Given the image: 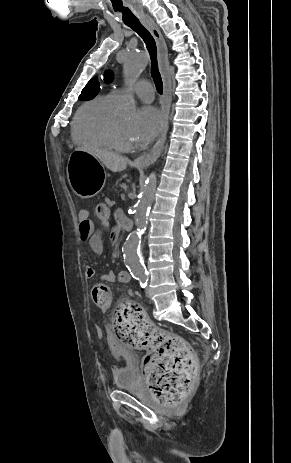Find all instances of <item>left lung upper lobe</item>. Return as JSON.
Listing matches in <instances>:
<instances>
[{"mask_svg":"<svg viewBox=\"0 0 291 463\" xmlns=\"http://www.w3.org/2000/svg\"><path fill=\"white\" fill-rule=\"evenodd\" d=\"M104 79L106 82H110L112 80V73L110 71L105 72ZM100 90V84L98 82V78H92L87 85L82 90L81 94L79 95L80 100H89L94 98Z\"/></svg>","mask_w":291,"mask_h":463,"instance_id":"1","label":"left lung upper lobe"}]
</instances>
